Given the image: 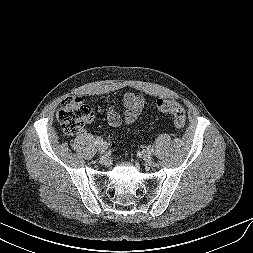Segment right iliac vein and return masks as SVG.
Here are the masks:
<instances>
[{
	"label": "right iliac vein",
	"mask_w": 253,
	"mask_h": 253,
	"mask_svg": "<svg viewBox=\"0 0 253 253\" xmlns=\"http://www.w3.org/2000/svg\"><path fill=\"white\" fill-rule=\"evenodd\" d=\"M97 149L99 153H104L107 150V144L106 143L99 144Z\"/></svg>",
	"instance_id": "obj_1"
}]
</instances>
